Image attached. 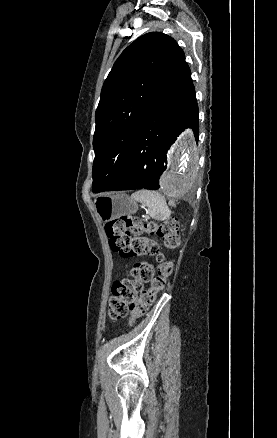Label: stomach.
Here are the masks:
<instances>
[{
    "label": "stomach",
    "instance_id": "stomach-1",
    "mask_svg": "<svg viewBox=\"0 0 277 438\" xmlns=\"http://www.w3.org/2000/svg\"><path fill=\"white\" fill-rule=\"evenodd\" d=\"M94 206L97 215L104 222L132 215L138 209L137 202L123 193H108L97 196L94 200Z\"/></svg>",
    "mask_w": 277,
    "mask_h": 438
}]
</instances>
